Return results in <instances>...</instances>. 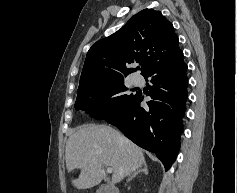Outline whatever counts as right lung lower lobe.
Wrapping results in <instances>:
<instances>
[{
	"label": "right lung lower lobe",
	"instance_id": "obj_1",
	"mask_svg": "<svg viewBox=\"0 0 237 193\" xmlns=\"http://www.w3.org/2000/svg\"><path fill=\"white\" fill-rule=\"evenodd\" d=\"M186 70L183 52L179 50L143 75L152 83L147 94L152 98L147 102L148 107H141L144 95L138 91L123 110L104 119L135 144L155 153L166 171L180 147L181 118L187 99Z\"/></svg>",
	"mask_w": 237,
	"mask_h": 193
}]
</instances>
